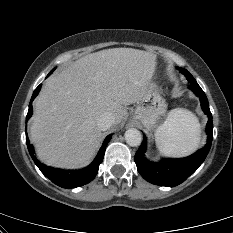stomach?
Instances as JSON below:
<instances>
[{"label":"stomach","mask_w":233,"mask_h":233,"mask_svg":"<svg viewBox=\"0 0 233 233\" xmlns=\"http://www.w3.org/2000/svg\"><path fill=\"white\" fill-rule=\"evenodd\" d=\"M166 109L167 104L158 86L150 83L145 95L137 102L133 120L142 123L147 130H152Z\"/></svg>","instance_id":"0dacf381"}]
</instances>
